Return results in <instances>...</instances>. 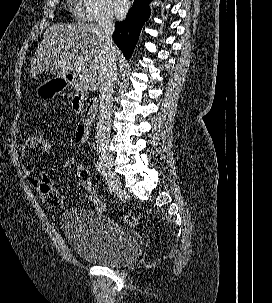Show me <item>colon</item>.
I'll list each match as a JSON object with an SVG mask.
<instances>
[{
    "instance_id": "5ec220e1",
    "label": "colon",
    "mask_w": 272,
    "mask_h": 303,
    "mask_svg": "<svg viewBox=\"0 0 272 303\" xmlns=\"http://www.w3.org/2000/svg\"><path fill=\"white\" fill-rule=\"evenodd\" d=\"M34 148L38 152L41 153H49L52 148L53 144L49 137L45 134H38L35 136ZM79 182L83 188V191L89 201L94 204L97 208L107 211L108 209L106 206L101 202V200L94 194L93 186L90 176V171L87 167L80 165L77 170ZM45 204L51 209H60L63 206V197L58 191H51L47 195L43 197ZM125 220L135 225L138 223V220L132 216L127 215L125 216Z\"/></svg>"
}]
</instances>
